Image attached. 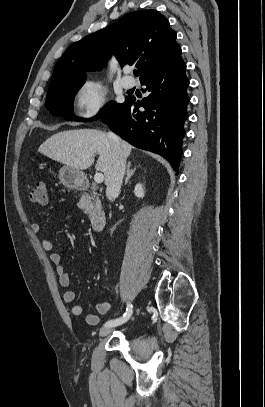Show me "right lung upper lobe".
<instances>
[{"instance_id": "1", "label": "right lung upper lobe", "mask_w": 265, "mask_h": 407, "mask_svg": "<svg viewBox=\"0 0 265 407\" xmlns=\"http://www.w3.org/2000/svg\"><path fill=\"white\" fill-rule=\"evenodd\" d=\"M169 21L155 10H140L73 43L57 62L50 85L85 81V71L96 70L116 56L122 66L142 71L140 80L181 52Z\"/></svg>"}]
</instances>
